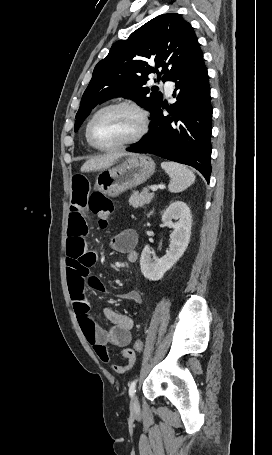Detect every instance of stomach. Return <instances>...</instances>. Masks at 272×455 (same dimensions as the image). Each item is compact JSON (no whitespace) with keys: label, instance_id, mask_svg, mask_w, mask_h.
Wrapping results in <instances>:
<instances>
[{"label":"stomach","instance_id":"0dacf381","mask_svg":"<svg viewBox=\"0 0 272 455\" xmlns=\"http://www.w3.org/2000/svg\"><path fill=\"white\" fill-rule=\"evenodd\" d=\"M154 172L155 163L151 157L135 154L115 167L100 171L95 187L104 195L116 197L144 183Z\"/></svg>","mask_w":272,"mask_h":455}]
</instances>
